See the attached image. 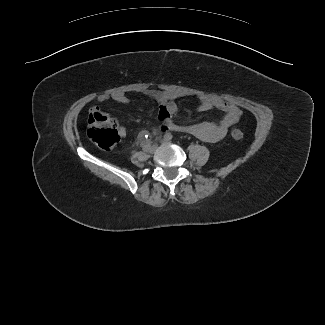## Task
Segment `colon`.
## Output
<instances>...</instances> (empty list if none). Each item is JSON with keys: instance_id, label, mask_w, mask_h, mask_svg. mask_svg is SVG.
Here are the masks:
<instances>
[{"instance_id": "1", "label": "colon", "mask_w": 325, "mask_h": 325, "mask_svg": "<svg viewBox=\"0 0 325 325\" xmlns=\"http://www.w3.org/2000/svg\"><path fill=\"white\" fill-rule=\"evenodd\" d=\"M87 135L93 143L105 150L112 149L119 141L116 123L100 111L90 112ZM231 136L235 140H241L244 134L239 129H233Z\"/></svg>"}]
</instances>
